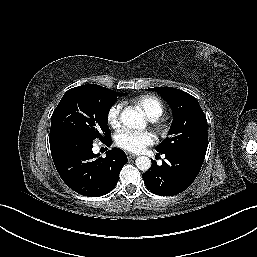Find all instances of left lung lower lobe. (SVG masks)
<instances>
[{
	"label": "left lung lower lobe",
	"instance_id": "1",
	"mask_svg": "<svg viewBox=\"0 0 257 257\" xmlns=\"http://www.w3.org/2000/svg\"><path fill=\"white\" fill-rule=\"evenodd\" d=\"M160 154V152L158 153ZM161 166L155 162L142 177L146 187L160 196H172L185 191L200 172L205 156L191 152H166Z\"/></svg>",
	"mask_w": 257,
	"mask_h": 257
}]
</instances>
